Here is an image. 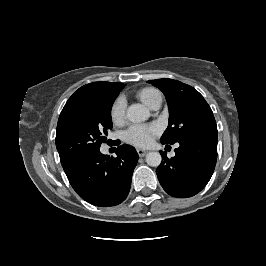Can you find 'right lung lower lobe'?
<instances>
[{
  "label": "right lung lower lobe",
  "instance_id": "1",
  "mask_svg": "<svg viewBox=\"0 0 266 266\" xmlns=\"http://www.w3.org/2000/svg\"><path fill=\"white\" fill-rule=\"evenodd\" d=\"M119 144L120 141L117 146ZM116 154L114 158L98 150L78 161L66 174L83 200L95 206L110 207L126 199L138 154L127 145L118 146Z\"/></svg>",
  "mask_w": 266,
  "mask_h": 266
}]
</instances>
